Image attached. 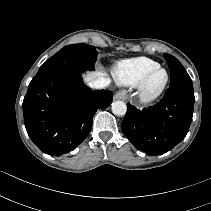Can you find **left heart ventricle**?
Returning <instances> with one entry per match:
<instances>
[{
    "label": "left heart ventricle",
    "instance_id": "obj_1",
    "mask_svg": "<svg viewBox=\"0 0 211 211\" xmlns=\"http://www.w3.org/2000/svg\"><path fill=\"white\" fill-rule=\"evenodd\" d=\"M165 79V73L163 71H159L156 73L150 83L151 88L158 87Z\"/></svg>",
    "mask_w": 211,
    "mask_h": 211
}]
</instances>
